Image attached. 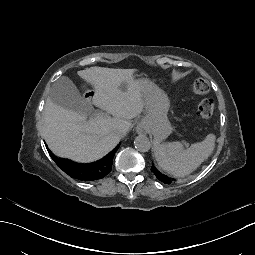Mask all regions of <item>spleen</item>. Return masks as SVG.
<instances>
[{
	"label": "spleen",
	"mask_w": 255,
	"mask_h": 255,
	"mask_svg": "<svg viewBox=\"0 0 255 255\" xmlns=\"http://www.w3.org/2000/svg\"><path fill=\"white\" fill-rule=\"evenodd\" d=\"M215 136L208 134L202 142L194 143L185 150L179 142L164 144L154 141V155L158 165L175 176H184L196 169L213 151Z\"/></svg>",
	"instance_id": "1"
}]
</instances>
